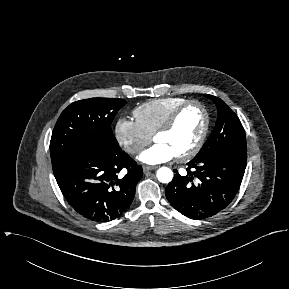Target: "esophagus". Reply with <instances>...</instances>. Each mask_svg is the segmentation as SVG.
Wrapping results in <instances>:
<instances>
[{
	"instance_id": "esophagus-1",
	"label": "esophagus",
	"mask_w": 289,
	"mask_h": 289,
	"mask_svg": "<svg viewBox=\"0 0 289 289\" xmlns=\"http://www.w3.org/2000/svg\"><path fill=\"white\" fill-rule=\"evenodd\" d=\"M156 168H157L156 166H147V165H144V166H143V171H144V172H147V171L155 170Z\"/></svg>"
}]
</instances>
